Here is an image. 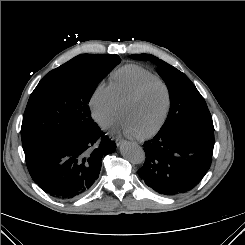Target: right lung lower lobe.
<instances>
[{
	"instance_id": "98d812e1",
	"label": "right lung lower lobe",
	"mask_w": 245,
	"mask_h": 245,
	"mask_svg": "<svg viewBox=\"0 0 245 245\" xmlns=\"http://www.w3.org/2000/svg\"><path fill=\"white\" fill-rule=\"evenodd\" d=\"M116 149L95 123L83 133L63 134L25 152L34 182L59 199L85 194L98 178L101 158Z\"/></svg>"
}]
</instances>
